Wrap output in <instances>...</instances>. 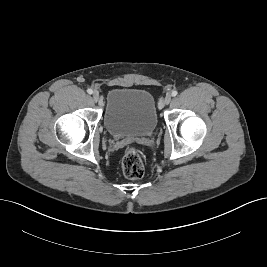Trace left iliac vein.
Here are the masks:
<instances>
[{
  "label": "left iliac vein",
  "mask_w": 267,
  "mask_h": 267,
  "mask_svg": "<svg viewBox=\"0 0 267 267\" xmlns=\"http://www.w3.org/2000/svg\"><path fill=\"white\" fill-rule=\"evenodd\" d=\"M171 99H172L171 95L170 94H167L166 97H165V99H164V103L165 104H169L171 102Z\"/></svg>",
  "instance_id": "4c4485c4"
}]
</instances>
